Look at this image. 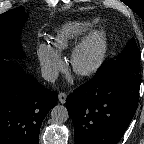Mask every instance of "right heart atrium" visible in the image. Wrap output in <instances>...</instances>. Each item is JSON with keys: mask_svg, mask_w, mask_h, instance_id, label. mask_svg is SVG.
Instances as JSON below:
<instances>
[{"mask_svg": "<svg viewBox=\"0 0 144 144\" xmlns=\"http://www.w3.org/2000/svg\"><path fill=\"white\" fill-rule=\"evenodd\" d=\"M37 57L44 75L51 79L62 69L64 63L58 50L48 44H40Z\"/></svg>", "mask_w": 144, "mask_h": 144, "instance_id": "1", "label": "right heart atrium"}]
</instances>
